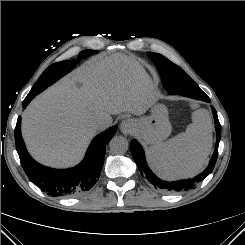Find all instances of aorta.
I'll return each instance as SVG.
<instances>
[{"label": "aorta", "instance_id": "762f6f07", "mask_svg": "<svg viewBox=\"0 0 245 245\" xmlns=\"http://www.w3.org/2000/svg\"><path fill=\"white\" fill-rule=\"evenodd\" d=\"M110 150L114 154H124L129 147L128 140L122 136H115L109 144Z\"/></svg>", "mask_w": 245, "mask_h": 245}]
</instances>
